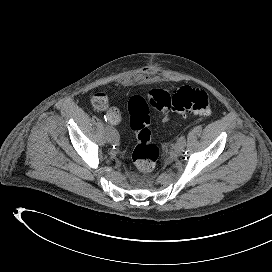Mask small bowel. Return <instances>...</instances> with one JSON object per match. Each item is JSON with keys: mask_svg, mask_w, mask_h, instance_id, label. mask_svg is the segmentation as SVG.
Listing matches in <instances>:
<instances>
[{"mask_svg": "<svg viewBox=\"0 0 272 272\" xmlns=\"http://www.w3.org/2000/svg\"><path fill=\"white\" fill-rule=\"evenodd\" d=\"M95 105L99 109H107L108 115L113 122L117 123L119 121L118 113L114 109L107 107L106 98L103 94L97 95V97L95 98ZM170 120L171 116L169 114H166L165 117L163 118V123L167 125L170 122Z\"/></svg>", "mask_w": 272, "mask_h": 272, "instance_id": "c3829d8e", "label": "small bowel"}]
</instances>
